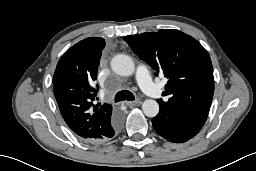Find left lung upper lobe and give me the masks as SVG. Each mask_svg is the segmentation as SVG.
I'll list each match as a JSON object with an SVG mask.
<instances>
[{"mask_svg":"<svg viewBox=\"0 0 256 171\" xmlns=\"http://www.w3.org/2000/svg\"><path fill=\"white\" fill-rule=\"evenodd\" d=\"M131 49L156 73L168 78L160 108L180 113L197 128L204 125L214 93L210 56L193 37L174 29L123 37Z\"/></svg>","mask_w":256,"mask_h":171,"instance_id":"obj_1","label":"left lung upper lobe"}]
</instances>
